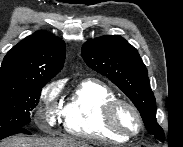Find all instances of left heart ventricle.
<instances>
[{
  "label": "left heart ventricle",
  "mask_w": 183,
  "mask_h": 147,
  "mask_svg": "<svg viewBox=\"0 0 183 147\" xmlns=\"http://www.w3.org/2000/svg\"><path fill=\"white\" fill-rule=\"evenodd\" d=\"M118 125L128 132H135L138 129V120L135 114L126 106H120L116 111Z\"/></svg>",
  "instance_id": "b2bd125f"
}]
</instances>
